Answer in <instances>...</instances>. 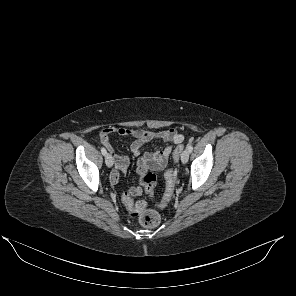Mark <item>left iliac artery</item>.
Wrapping results in <instances>:
<instances>
[{"label":"left iliac artery","mask_w":296,"mask_h":296,"mask_svg":"<svg viewBox=\"0 0 296 296\" xmlns=\"http://www.w3.org/2000/svg\"><path fill=\"white\" fill-rule=\"evenodd\" d=\"M187 149H188V151L191 153L192 150H193V146H192V144H189L188 147H187Z\"/></svg>","instance_id":"obj_1"}]
</instances>
